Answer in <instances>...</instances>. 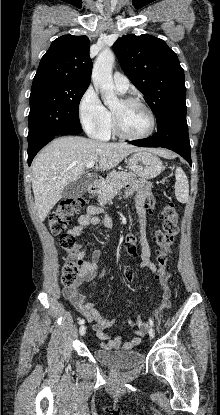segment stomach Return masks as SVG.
I'll return each instance as SVG.
<instances>
[{
	"label": "stomach",
	"instance_id": "stomach-1",
	"mask_svg": "<svg viewBox=\"0 0 220 415\" xmlns=\"http://www.w3.org/2000/svg\"><path fill=\"white\" fill-rule=\"evenodd\" d=\"M127 164L130 170L144 179H153L163 170L162 161L147 150L132 153Z\"/></svg>",
	"mask_w": 220,
	"mask_h": 415
}]
</instances>
